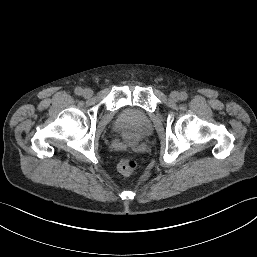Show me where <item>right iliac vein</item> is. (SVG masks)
Here are the masks:
<instances>
[{
	"instance_id": "1",
	"label": "right iliac vein",
	"mask_w": 257,
	"mask_h": 257,
	"mask_svg": "<svg viewBox=\"0 0 257 257\" xmlns=\"http://www.w3.org/2000/svg\"><path fill=\"white\" fill-rule=\"evenodd\" d=\"M92 95H93L92 89H90V88H85V89L83 90V96H84L85 98H89V97H91Z\"/></svg>"
}]
</instances>
